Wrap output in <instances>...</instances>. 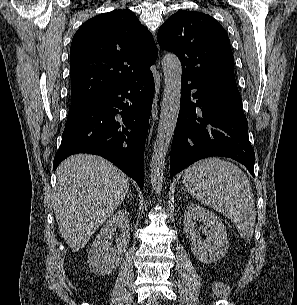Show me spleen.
Wrapping results in <instances>:
<instances>
[{
    "label": "spleen",
    "mask_w": 297,
    "mask_h": 305,
    "mask_svg": "<svg viewBox=\"0 0 297 305\" xmlns=\"http://www.w3.org/2000/svg\"><path fill=\"white\" fill-rule=\"evenodd\" d=\"M183 182L194 198L228 217L243 239L252 238L256 220L254 195L238 166L219 158L204 159L185 170Z\"/></svg>",
    "instance_id": "spleen-1"
}]
</instances>
